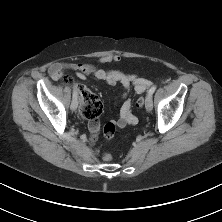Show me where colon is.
<instances>
[{"label": "colon", "mask_w": 222, "mask_h": 222, "mask_svg": "<svg viewBox=\"0 0 222 222\" xmlns=\"http://www.w3.org/2000/svg\"><path fill=\"white\" fill-rule=\"evenodd\" d=\"M80 97L82 101V115L85 119H89L93 116H97L102 111V103L99 98L87 88L81 87ZM144 105V99L141 97L137 100V106L141 108ZM106 138L110 139L113 137L115 132V125L111 122L107 123L103 129ZM106 160L110 159L109 154H105Z\"/></svg>", "instance_id": "obj_1"}]
</instances>
